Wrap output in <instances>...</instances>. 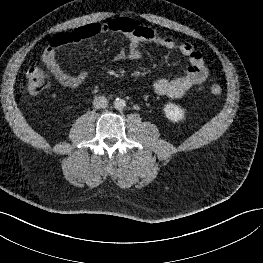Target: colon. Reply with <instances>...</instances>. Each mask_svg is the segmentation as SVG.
<instances>
[{
    "label": "colon",
    "instance_id": "obj_1",
    "mask_svg": "<svg viewBox=\"0 0 263 263\" xmlns=\"http://www.w3.org/2000/svg\"><path fill=\"white\" fill-rule=\"evenodd\" d=\"M50 85L49 73L38 66L31 67L26 74V90L29 94L36 95L46 90ZM209 92L213 96H219L223 93V87L217 82L211 83Z\"/></svg>",
    "mask_w": 263,
    "mask_h": 263
}]
</instances>
